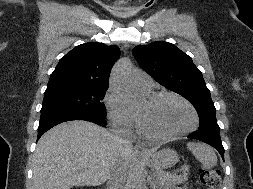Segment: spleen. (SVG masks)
I'll return each mask as SVG.
<instances>
[{"label": "spleen", "instance_id": "spleen-1", "mask_svg": "<svg viewBox=\"0 0 253 189\" xmlns=\"http://www.w3.org/2000/svg\"><path fill=\"white\" fill-rule=\"evenodd\" d=\"M187 148L201 162L204 168H210L217 164V156L211 146L203 143L189 142L187 143Z\"/></svg>", "mask_w": 253, "mask_h": 189}]
</instances>
